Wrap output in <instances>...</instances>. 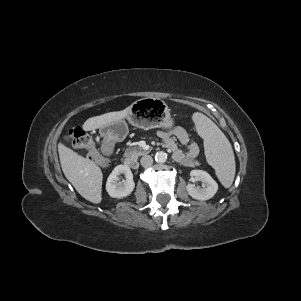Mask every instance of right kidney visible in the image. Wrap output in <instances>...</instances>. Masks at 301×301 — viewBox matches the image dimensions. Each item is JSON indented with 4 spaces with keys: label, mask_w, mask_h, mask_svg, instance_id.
I'll list each match as a JSON object with an SVG mask.
<instances>
[{
    "label": "right kidney",
    "mask_w": 301,
    "mask_h": 301,
    "mask_svg": "<svg viewBox=\"0 0 301 301\" xmlns=\"http://www.w3.org/2000/svg\"><path fill=\"white\" fill-rule=\"evenodd\" d=\"M124 174L126 180L118 182L119 175ZM135 183L133 181V174L127 165L116 166L109 175L106 182V191L112 198H124L129 196L134 190Z\"/></svg>",
    "instance_id": "right-kidney-1"
}]
</instances>
